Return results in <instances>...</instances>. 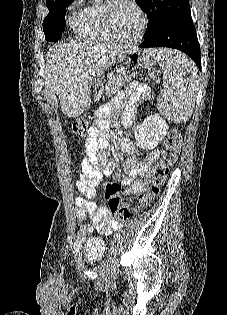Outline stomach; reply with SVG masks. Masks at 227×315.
I'll return each instance as SVG.
<instances>
[{"label": "stomach", "instance_id": "stomach-1", "mask_svg": "<svg viewBox=\"0 0 227 315\" xmlns=\"http://www.w3.org/2000/svg\"><path fill=\"white\" fill-rule=\"evenodd\" d=\"M100 76L94 75L92 80H88V87L92 91H111L112 82L116 80V70L114 68H106L104 71H101Z\"/></svg>", "mask_w": 227, "mask_h": 315}]
</instances>
